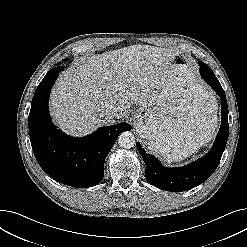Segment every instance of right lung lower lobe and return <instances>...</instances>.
Masks as SVG:
<instances>
[{"label": "right lung lower lobe", "mask_w": 247, "mask_h": 247, "mask_svg": "<svg viewBox=\"0 0 247 247\" xmlns=\"http://www.w3.org/2000/svg\"><path fill=\"white\" fill-rule=\"evenodd\" d=\"M63 69H51L35 91L28 118L31 146L39 165L53 179L72 187H91L103 179L105 159L118 135L131 126L121 123L102 127L84 138H73L56 129L50 119L48 99Z\"/></svg>", "instance_id": "right-lung-lower-lobe-1"}]
</instances>
